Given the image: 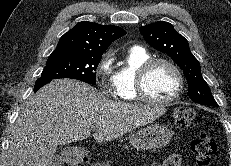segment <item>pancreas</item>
<instances>
[{
	"mask_svg": "<svg viewBox=\"0 0 231 166\" xmlns=\"http://www.w3.org/2000/svg\"><path fill=\"white\" fill-rule=\"evenodd\" d=\"M110 163L111 162L109 160H106V161H102L101 163H96L93 166H111Z\"/></svg>",
	"mask_w": 231,
	"mask_h": 166,
	"instance_id": "cf45deb5",
	"label": "pancreas"
}]
</instances>
